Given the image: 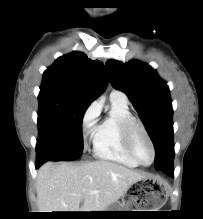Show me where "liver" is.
<instances>
[{"label":"liver","instance_id":"liver-1","mask_svg":"<svg viewBox=\"0 0 203 219\" xmlns=\"http://www.w3.org/2000/svg\"><path fill=\"white\" fill-rule=\"evenodd\" d=\"M146 177L144 172L105 160L80 164L48 161L37 174V206L40 212L104 211Z\"/></svg>","mask_w":203,"mask_h":219}]
</instances>
